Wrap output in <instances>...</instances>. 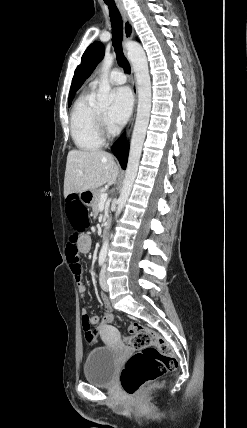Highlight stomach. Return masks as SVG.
<instances>
[{"instance_id": "0dacf381", "label": "stomach", "mask_w": 247, "mask_h": 428, "mask_svg": "<svg viewBox=\"0 0 247 428\" xmlns=\"http://www.w3.org/2000/svg\"><path fill=\"white\" fill-rule=\"evenodd\" d=\"M95 192H96V190H87V191L80 193V197L84 196L85 199L81 198L82 201L85 202L86 205L91 206L93 204V201H94Z\"/></svg>"}]
</instances>
